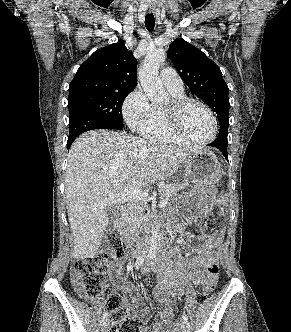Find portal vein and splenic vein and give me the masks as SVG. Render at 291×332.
<instances>
[{
	"label": "portal vein and splenic vein",
	"instance_id": "portal-vein-and-splenic-vein-1",
	"mask_svg": "<svg viewBox=\"0 0 291 332\" xmlns=\"http://www.w3.org/2000/svg\"><path fill=\"white\" fill-rule=\"evenodd\" d=\"M148 197V193L136 189V190H129V191H124L118 194L113 195L108 203L116 204V203H123V202H128V201H146ZM168 204L167 201H162L160 202L159 206L160 207H165Z\"/></svg>",
	"mask_w": 291,
	"mask_h": 332
}]
</instances>
